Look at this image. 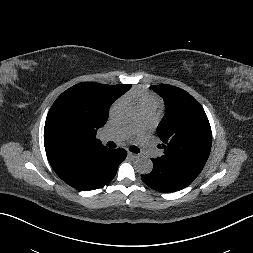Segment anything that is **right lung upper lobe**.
<instances>
[{
  "label": "right lung upper lobe",
  "instance_id": "obj_1",
  "mask_svg": "<svg viewBox=\"0 0 253 253\" xmlns=\"http://www.w3.org/2000/svg\"><path fill=\"white\" fill-rule=\"evenodd\" d=\"M131 86L82 82L63 92L52 105L44 127V146L51 166L79 154L105 149L96 139L97 130L106 123L111 104ZM68 106L85 110L95 106L102 110V114L94 126L78 124L63 128L59 119Z\"/></svg>",
  "mask_w": 253,
  "mask_h": 253
}]
</instances>
